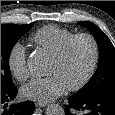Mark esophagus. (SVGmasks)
I'll use <instances>...</instances> for the list:
<instances>
[{"mask_svg":"<svg viewBox=\"0 0 115 115\" xmlns=\"http://www.w3.org/2000/svg\"><path fill=\"white\" fill-rule=\"evenodd\" d=\"M35 105H36V107H45V106H46V103L36 102Z\"/></svg>","mask_w":115,"mask_h":115,"instance_id":"esophagus-1","label":"esophagus"}]
</instances>
